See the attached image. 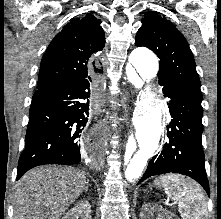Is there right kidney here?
<instances>
[{
	"mask_svg": "<svg viewBox=\"0 0 221 219\" xmlns=\"http://www.w3.org/2000/svg\"><path fill=\"white\" fill-rule=\"evenodd\" d=\"M62 219H91V206L87 200L75 204Z\"/></svg>",
	"mask_w": 221,
	"mask_h": 219,
	"instance_id": "1",
	"label": "right kidney"
}]
</instances>
